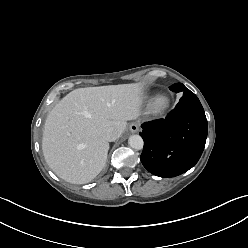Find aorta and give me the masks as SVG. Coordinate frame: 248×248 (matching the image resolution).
<instances>
[{"mask_svg": "<svg viewBox=\"0 0 248 248\" xmlns=\"http://www.w3.org/2000/svg\"><path fill=\"white\" fill-rule=\"evenodd\" d=\"M128 144L135 150H141L143 148L144 142L140 135H131L128 139Z\"/></svg>", "mask_w": 248, "mask_h": 248, "instance_id": "obj_1", "label": "aorta"}]
</instances>
